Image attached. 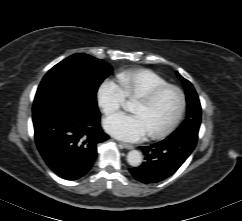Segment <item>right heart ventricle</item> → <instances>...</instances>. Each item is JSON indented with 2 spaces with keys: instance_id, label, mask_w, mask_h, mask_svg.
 <instances>
[{
  "instance_id": "right-heart-ventricle-1",
  "label": "right heart ventricle",
  "mask_w": 242,
  "mask_h": 221,
  "mask_svg": "<svg viewBox=\"0 0 242 221\" xmlns=\"http://www.w3.org/2000/svg\"><path fill=\"white\" fill-rule=\"evenodd\" d=\"M117 79L129 99H138L155 88L167 84L166 79L150 69L122 71L117 75Z\"/></svg>"
}]
</instances>
